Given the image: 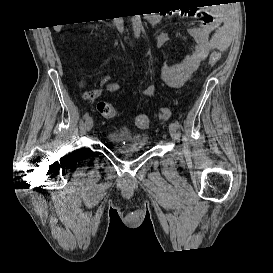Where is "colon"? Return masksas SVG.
<instances>
[{
  "label": "colon",
  "mask_w": 273,
  "mask_h": 273,
  "mask_svg": "<svg viewBox=\"0 0 273 273\" xmlns=\"http://www.w3.org/2000/svg\"><path fill=\"white\" fill-rule=\"evenodd\" d=\"M220 56L217 52H214L210 56V66L213 67L219 62ZM97 95L95 90H90L86 93L88 99H94ZM98 112L105 118H114L117 115L115 106L109 102H99L97 104ZM157 116L160 120L167 121L171 118V111L168 108H160L157 112ZM134 123L137 127L146 128L150 125V119L147 115H138Z\"/></svg>",
  "instance_id": "5ec220e1"
}]
</instances>
